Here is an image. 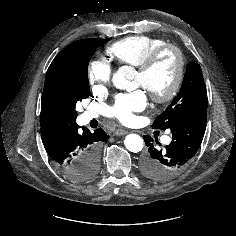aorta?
I'll list each match as a JSON object with an SVG mask.
<instances>
[{
  "label": "aorta",
  "instance_id": "aorta-1",
  "mask_svg": "<svg viewBox=\"0 0 236 236\" xmlns=\"http://www.w3.org/2000/svg\"><path fill=\"white\" fill-rule=\"evenodd\" d=\"M134 78V69L130 66H122L113 75V85L120 90L130 89L131 81ZM124 145L131 152H140L143 149L144 141L137 134H129L124 139Z\"/></svg>",
  "mask_w": 236,
  "mask_h": 236
}]
</instances>
